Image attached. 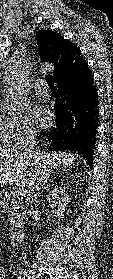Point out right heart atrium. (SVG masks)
I'll return each mask as SVG.
<instances>
[{
    "instance_id": "right-heart-atrium-1",
    "label": "right heart atrium",
    "mask_w": 113,
    "mask_h": 279,
    "mask_svg": "<svg viewBox=\"0 0 113 279\" xmlns=\"http://www.w3.org/2000/svg\"><path fill=\"white\" fill-rule=\"evenodd\" d=\"M36 131L31 118L27 114H21L10 118V134L12 141L26 138Z\"/></svg>"
}]
</instances>
